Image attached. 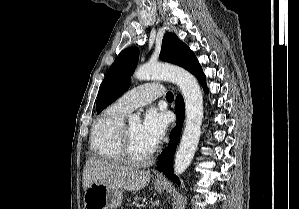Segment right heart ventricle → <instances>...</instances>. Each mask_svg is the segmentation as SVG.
<instances>
[{"mask_svg":"<svg viewBox=\"0 0 299 209\" xmlns=\"http://www.w3.org/2000/svg\"><path fill=\"white\" fill-rule=\"evenodd\" d=\"M125 114L113 104L94 122L90 146L100 158L112 162H124L121 154V131Z\"/></svg>","mask_w":299,"mask_h":209,"instance_id":"1","label":"right heart ventricle"}]
</instances>
